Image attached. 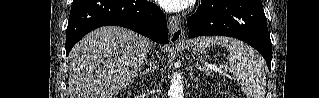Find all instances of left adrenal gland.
I'll use <instances>...</instances> for the list:
<instances>
[{
  "label": "left adrenal gland",
  "instance_id": "obj_1",
  "mask_svg": "<svg viewBox=\"0 0 319 98\" xmlns=\"http://www.w3.org/2000/svg\"><path fill=\"white\" fill-rule=\"evenodd\" d=\"M189 75H190V79H191V80H193V81H195V82H198V81H199L198 78H195V77H194L192 67L189 68Z\"/></svg>",
  "mask_w": 319,
  "mask_h": 98
}]
</instances>
